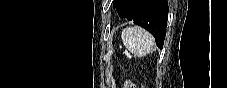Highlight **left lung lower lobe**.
<instances>
[{"instance_id": "1", "label": "left lung lower lobe", "mask_w": 227, "mask_h": 88, "mask_svg": "<svg viewBox=\"0 0 227 88\" xmlns=\"http://www.w3.org/2000/svg\"><path fill=\"white\" fill-rule=\"evenodd\" d=\"M117 10L120 17H126L152 33L157 46L163 47L168 17L167 0H119Z\"/></svg>"}]
</instances>
